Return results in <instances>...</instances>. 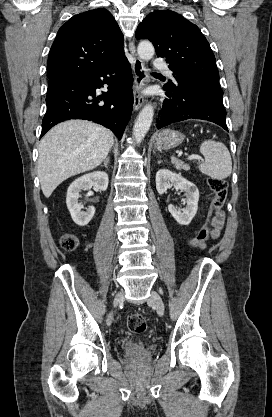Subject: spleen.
<instances>
[{"label": "spleen", "mask_w": 272, "mask_h": 417, "mask_svg": "<svg viewBox=\"0 0 272 417\" xmlns=\"http://www.w3.org/2000/svg\"><path fill=\"white\" fill-rule=\"evenodd\" d=\"M200 152L205 158V161L198 165L201 173L216 180L230 176L232 160L227 147L222 142L204 141L200 145Z\"/></svg>", "instance_id": "spleen-1"}]
</instances>
